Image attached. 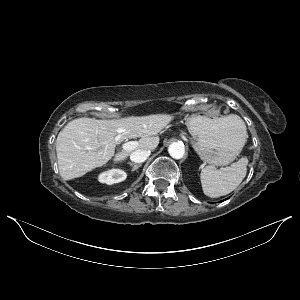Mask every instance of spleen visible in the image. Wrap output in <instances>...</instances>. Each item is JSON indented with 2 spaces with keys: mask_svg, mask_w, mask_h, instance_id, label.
I'll use <instances>...</instances> for the list:
<instances>
[{
  "mask_svg": "<svg viewBox=\"0 0 300 300\" xmlns=\"http://www.w3.org/2000/svg\"><path fill=\"white\" fill-rule=\"evenodd\" d=\"M230 116V115H229ZM229 119L242 132L243 140H247V130L244 121L238 115H231ZM248 159L242 157L229 167L216 169L213 165L201 170L200 180L205 195L218 198L235 190L246 176Z\"/></svg>",
  "mask_w": 300,
  "mask_h": 300,
  "instance_id": "obj_1",
  "label": "spleen"
}]
</instances>
